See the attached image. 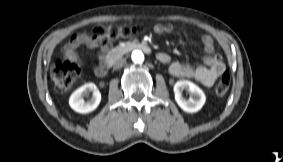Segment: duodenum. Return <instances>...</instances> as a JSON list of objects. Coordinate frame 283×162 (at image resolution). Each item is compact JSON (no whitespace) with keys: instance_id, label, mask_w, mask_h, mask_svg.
<instances>
[{"instance_id":"410a0bca","label":"duodenum","mask_w":283,"mask_h":162,"mask_svg":"<svg viewBox=\"0 0 283 162\" xmlns=\"http://www.w3.org/2000/svg\"><path fill=\"white\" fill-rule=\"evenodd\" d=\"M110 57L107 58V65L109 68L113 66V62L122 57L124 54L133 51V50H142L146 53H149L151 51L148 44L141 41H128L124 42L112 49Z\"/></svg>"}]
</instances>
